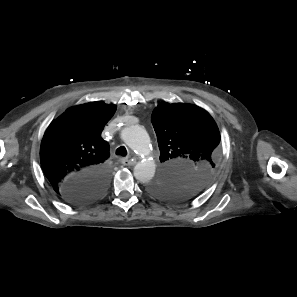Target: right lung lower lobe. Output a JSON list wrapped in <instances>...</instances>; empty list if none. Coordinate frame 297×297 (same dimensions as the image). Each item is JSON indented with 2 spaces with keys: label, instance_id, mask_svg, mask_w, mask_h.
I'll return each instance as SVG.
<instances>
[{
  "label": "right lung lower lobe",
  "instance_id": "obj_1",
  "mask_svg": "<svg viewBox=\"0 0 297 297\" xmlns=\"http://www.w3.org/2000/svg\"><path fill=\"white\" fill-rule=\"evenodd\" d=\"M109 183L108 169H93L75 174L59 195L72 204H85L100 197Z\"/></svg>",
  "mask_w": 297,
  "mask_h": 297
}]
</instances>
